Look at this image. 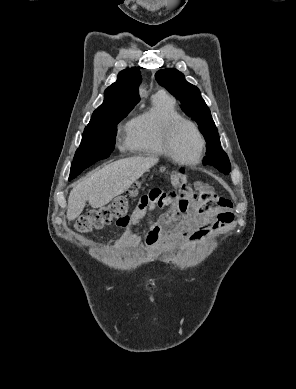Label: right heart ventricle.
I'll list each match as a JSON object with an SVG mask.
<instances>
[{"instance_id":"right-heart-ventricle-1","label":"right heart ventricle","mask_w":296,"mask_h":389,"mask_svg":"<svg viewBox=\"0 0 296 389\" xmlns=\"http://www.w3.org/2000/svg\"><path fill=\"white\" fill-rule=\"evenodd\" d=\"M176 101L165 92L153 96L149 110L134 116L126 125L127 147L139 154L163 157L162 132L167 121L179 117Z\"/></svg>"}]
</instances>
